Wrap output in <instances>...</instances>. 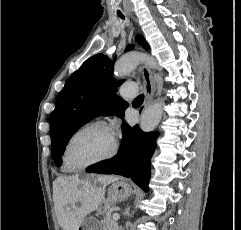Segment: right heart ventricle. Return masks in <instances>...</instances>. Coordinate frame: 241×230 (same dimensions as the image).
Here are the masks:
<instances>
[{
  "label": "right heart ventricle",
  "mask_w": 241,
  "mask_h": 230,
  "mask_svg": "<svg viewBox=\"0 0 241 230\" xmlns=\"http://www.w3.org/2000/svg\"><path fill=\"white\" fill-rule=\"evenodd\" d=\"M64 169H65L66 171H69V169L67 168V166L65 165V163H64Z\"/></svg>",
  "instance_id": "right-heart-ventricle-1"
}]
</instances>
